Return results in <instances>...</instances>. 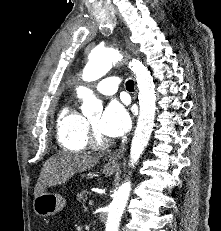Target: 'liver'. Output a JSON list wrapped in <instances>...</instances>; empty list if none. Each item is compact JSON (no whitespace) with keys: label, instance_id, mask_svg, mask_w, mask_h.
I'll return each instance as SVG.
<instances>
[{"label":"liver","instance_id":"obj_1","mask_svg":"<svg viewBox=\"0 0 221 231\" xmlns=\"http://www.w3.org/2000/svg\"><path fill=\"white\" fill-rule=\"evenodd\" d=\"M98 162V157L85 154H73L70 152L55 154L45 162L41 170L34 189V197L44 192L47 187L66 183L76 173L90 169Z\"/></svg>","mask_w":221,"mask_h":231}]
</instances>
